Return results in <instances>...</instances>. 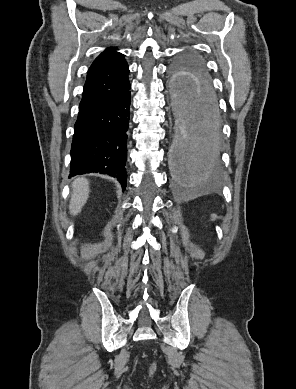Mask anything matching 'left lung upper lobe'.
<instances>
[{"label":"left lung upper lobe","instance_id":"1","mask_svg":"<svg viewBox=\"0 0 296 389\" xmlns=\"http://www.w3.org/2000/svg\"><path fill=\"white\" fill-rule=\"evenodd\" d=\"M171 71L173 74V85L181 90L185 88L195 89L196 76L210 79L206 71L204 61L194 52H187L178 55L172 64ZM184 99L186 101L187 114L193 121L194 114L191 104L186 97H184Z\"/></svg>","mask_w":296,"mask_h":389}]
</instances>
